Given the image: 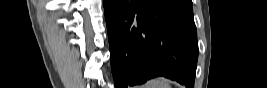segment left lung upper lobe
<instances>
[{"label":"left lung upper lobe","instance_id":"obj_1","mask_svg":"<svg viewBox=\"0 0 267 88\" xmlns=\"http://www.w3.org/2000/svg\"><path fill=\"white\" fill-rule=\"evenodd\" d=\"M183 3H186V4H189V5H192V1L191 0H179Z\"/></svg>","mask_w":267,"mask_h":88}]
</instances>
